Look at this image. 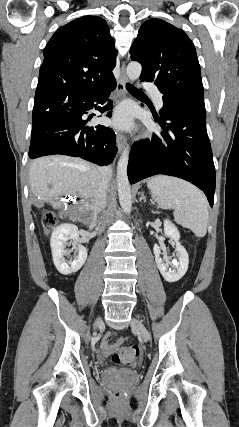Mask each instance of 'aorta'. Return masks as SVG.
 Wrapping results in <instances>:
<instances>
[{
    "mask_svg": "<svg viewBox=\"0 0 239 427\" xmlns=\"http://www.w3.org/2000/svg\"><path fill=\"white\" fill-rule=\"evenodd\" d=\"M142 67L138 62H130L126 73L130 82L135 81L141 74ZM129 160V147L127 146L117 164V188L120 205L125 213L131 212L132 200L131 189L127 176V166Z\"/></svg>",
    "mask_w": 239,
    "mask_h": 427,
    "instance_id": "obj_1",
    "label": "aorta"
}]
</instances>
